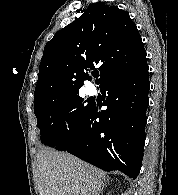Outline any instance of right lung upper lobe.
Wrapping results in <instances>:
<instances>
[{"instance_id":"right-lung-upper-lobe-1","label":"right lung upper lobe","mask_w":178,"mask_h":195,"mask_svg":"<svg viewBox=\"0 0 178 195\" xmlns=\"http://www.w3.org/2000/svg\"><path fill=\"white\" fill-rule=\"evenodd\" d=\"M146 61L141 36L129 14L104 2L58 31L45 45L34 93V108L45 101L79 92L91 70L100 84Z\"/></svg>"}]
</instances>
